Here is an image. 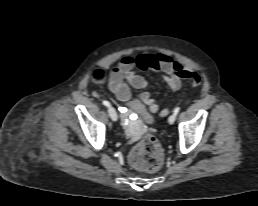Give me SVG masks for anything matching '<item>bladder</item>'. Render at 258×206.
I'll use <instances>...</instances> for the list:
<instances>
[{
  "mask_svg": "<svg viewBox=\"0 0 258 206\" xmlns=\"http://www.w3.org/2000/svg\"><path fill=\"white\" fill-rule=\"evenodd\" d=\"M130 105L132 109H134L142 116L145 122L151 123L153 121V116L149 113L147 108L142 103L134 101V102H131Z\"/></svg>",
  "mask_w": 258,
  "mask_h": 206,
  "instance_id": "31cf9c89",
  "label": "bladder"
}]
</instances>
